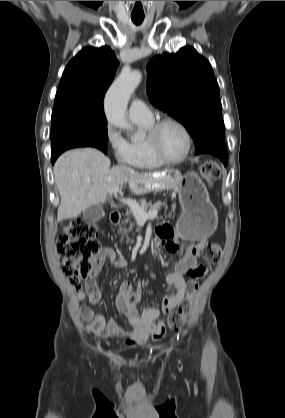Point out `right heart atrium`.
Segmentation results:
<instances>
[{"label": "right heart atrium", "instance_id": "1", "mask_svg": "<svg viewBox=\"0 0 285 418\" xmlns=\"http://www.w3.org/2000/svg\"><path fill=\"white\" fill-rule=\"evenodd\" d=\"M105 143L119 165H131L128 144L111 125L105 129Z\"/></svg>", "mask_w": 285, "mask_h": 418}]
</instances>
